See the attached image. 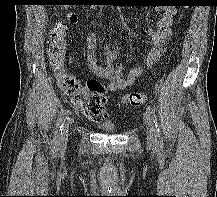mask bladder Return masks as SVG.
<instances>
[{
	"label": "bladder",
	"instance_id": "1",
	"mask_svg": "<svg viewBox=\"0 0 217 197\" xmlns=\"http://www.w3.org/2000/svg\"><path fill=\"white\" fill-rule=\"evenodd\" d=\"M98 128L108 132H114L117 129L116 125L113 123L100 124L98 125Z\"/></svg>",
	"mask_w": 217,
	"mask_h": 197
}]
</instances>
